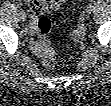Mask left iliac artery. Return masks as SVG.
Instances as JSON below:
<instances>
[{"instance_id":"44dca946","label":"left iliac artery","mask_w":111,"mask_h":106,"mask_svg":"<svg viewBox=\"0 0 111 106\" xmlns=\"http://www.w3.org/2000/svg\"><path fill=\"white\" fill-rule=\"evenodd\" d=\"M90 2H91V4H92L94 1H93V0H91Z\"/></svg>"}]
</instances>
